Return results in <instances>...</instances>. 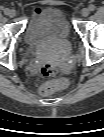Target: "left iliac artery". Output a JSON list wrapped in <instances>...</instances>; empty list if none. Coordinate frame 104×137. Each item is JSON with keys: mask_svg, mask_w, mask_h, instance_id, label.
Segmentation results:
<instances>
[{"mask_svg": "<svg viewBox=\"0 0 104 137\" xmlns=\"http://www.w3.org/2000/svg\"><path fill=\"white\" fill-rule=\"evenodd\" d=\"M89 9L90 11H94L95 10V6L93 4L89 5Z\"/></svg>", "mask_w": 104, "mask_h": 137, "instance_id": "1", "label": "left iliac artery"}]
</instances>
